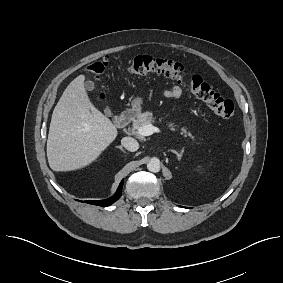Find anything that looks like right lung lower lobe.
I'll list each match as a JSON object with an SVG mask.
<instances>
[{
  "mask_svg": "<svg viewBox=\"0 0 283 283\" xmlns=\"http://www.w3.org/2000/svg\"><path fill=\"white\" fill-rule=\"evenodd\" d=\"M122 187H123V181H121L115 195L111 198H108V199H105V200L84 201V202L89 203V204H93V205L103 206V207L109 206L120 198L121 193H122Z\"/></svg>",
  "mask_w": 283,
  "mask_h": 283,
  "instance_id": "1",
  "label": "right lung lower lobe"
}]
</instances>
